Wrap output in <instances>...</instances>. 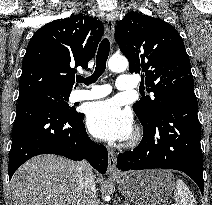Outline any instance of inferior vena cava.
<instances>
[{
    "instance_id": "1",
    "label": "inferior vena cava",
    "mask_w": 212,
    "mask_h": 205,
    "mask_svg": "<svg viewBox=\"0 0 212 205\" xmlns=\"http://www.w3.org/2000/svg\"><path fill=\"white\" fill-rule=\"evenodd\" d=\"M77 205H98L96 187L92 169L86 161H80L76 167Z\"/></svg>"
}]
</instances>
